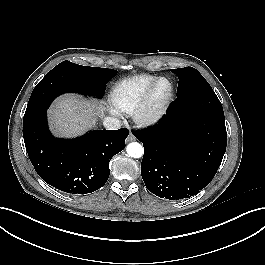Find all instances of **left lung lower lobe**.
<instances>
[{
  "instance_id": "0a47b994",
  "label": "left lung lower lobe",
  "mask_w": 265,
  "mask_h": 265,
  "mask_svg": "<svg viewBox=\"0 0 265 265\" xmlns=\"http://www.w3.org/2000/svg\"><path fill=\"white\" fill-rule=\"evenodd\" d=\"M143 143L141 175L153 194L189 198L215 176L226 151L225 120L196 113H173L145 130L133 131Z\"/></svg>"
}]
</instances>
